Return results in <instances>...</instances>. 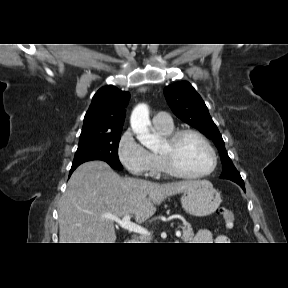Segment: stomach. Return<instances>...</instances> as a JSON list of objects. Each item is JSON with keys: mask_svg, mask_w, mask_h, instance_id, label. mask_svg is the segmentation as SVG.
I'll list each match as a JSON object with an SVG mask.
<instances>
[{"mask_svg": "<svg viewBox=\"0 0 288 288\" xmlns=\"http://www.w3.org/2000/svg\"><path fill=\"white\" fill-rule=\"evenodd\" d=\"M222 202L220 193L207 181L185 191L181 197L183 208L191 215L205 217L214 213Z\"/></svg>", "mask_w": 288, "mask_h": 288, "instance_id": "0dacf381", "label": "stomach"}]
</instances>
